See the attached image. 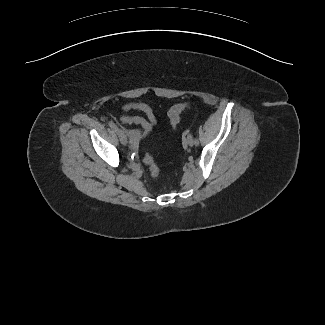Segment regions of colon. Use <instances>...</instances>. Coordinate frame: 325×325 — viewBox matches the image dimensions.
<instances>
[{"instance_id":"5ec220e1","label":"colon","mask_w":325,"mask_h":325,"mask_svg":"<svg viewBox=\"0 0 325 325\" xmlns=\"http://www.w3.org/2000/svg\"><path fill=\"white\" fill-rule=\"evenodd\" d=\"M189 106L188 103H178L172 106L168 112L169 120L171 126L176 129L180 122L181 112ZM144 163L147 165L149 172L152 176H157L159 174V168L154 163L153 157L150 154H146L144 157Z\"/></svg>"}]
</instances>
